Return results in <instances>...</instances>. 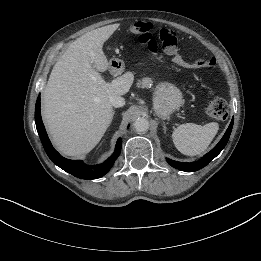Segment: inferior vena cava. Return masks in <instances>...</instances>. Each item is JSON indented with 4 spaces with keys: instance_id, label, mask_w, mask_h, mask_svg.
I'll return each instance as SVG.
<instances>
[{
    "instance_id": "602c4592",
    "label": "inferior vena cava",
    "mask_w": 261,
    "mask_h": 261,
    "mask_svg": "<svg viewBox=\"0 0 261 261\" xmlns=\"http://www.w3.org/2000/svg\"><path fill=\"white\" fill-rule=\"evenodd\" d=\"M109 101L115 108L122 107L125 105V99L121 96L113 95L110 96Z\"/></svg>"
}]
</instances>
